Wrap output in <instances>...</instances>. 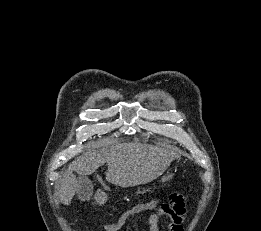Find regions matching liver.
Segmentation results:
<instances>
[{"mask_svg": "<svg viewBox=\"0 0 261 231\" xmlns=\"http://www.w3.org/2000/svg\"><path fill=\"white\" fill-rule=\"evenodd\" d=\"M178 157L168 148L132 142L87 151L72 161L63 175L59 189L61 203L69 205L79 189L74 171L87 176L107 163L106 180L126 188L155 180Z\"/></svg>", "mask_w": 261, "mask_h": 231, "instance_id": "1", "label": "liver"}]
</instances>
